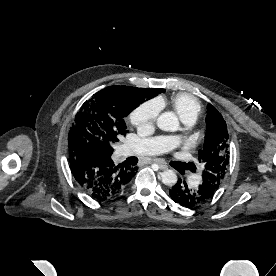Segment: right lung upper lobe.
Here are the masks:
<instances>
[{"instance_id": "1", "label": "right lung upper lobe", "mask_w": 276, "mask_h": 276, "mask_svg": "<svg viewBox=\"0 0 276 276\" xmlns=\"http://www.w3.org/2000/svg\"><path fill=\"white\" fill-rule=\"evenodd\" d=\"M124 87H126V86H124ZM154 89L161 90V89H159V88H154ZM108 157H111V155H110V156H108Z\"/></svg>"}]
</instances>
